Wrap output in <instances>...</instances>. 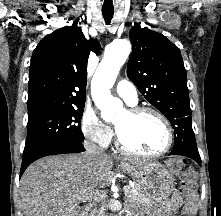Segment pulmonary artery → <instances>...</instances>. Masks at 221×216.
Returning a JSON list of instances; mask_svg holds the SVG:
<instances>
[{"instance_id":"1","label":"pulmonary artery","mask_w":221,"mask_h":216,"mask_svg":"<svg viewBox=\"0 0 221 216\" xmlns=\"http://www.w3.org/2000/svg\"><path fill=\"white\" fill-rule=\"evenodd\" d=\"M116 93L129 105L137 103V90L128 80H120L115 87Z\"/></svg>"}]
</instances>
